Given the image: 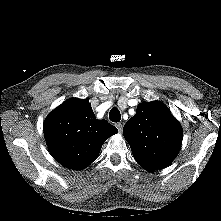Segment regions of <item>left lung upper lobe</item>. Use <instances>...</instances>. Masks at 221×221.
Here are the masks:
<instances>
[{"instance_id": "5c2ea615", "label": "left lung upper lobe", "mask_w": 221, "mask_h": 221, "mask_svg": "<svg viewBox=\"0 0 221 221\" xmlns=\"http://www.w3.org/2000/svg\"><path fill=\"white\" fill-rule=\"evenodd\" d=\"M123 134L137 163L152 172L168 166L178 154L183 137L179 122L161 102L137 106L124 125Z\"/></svg>"}]
</instances>
